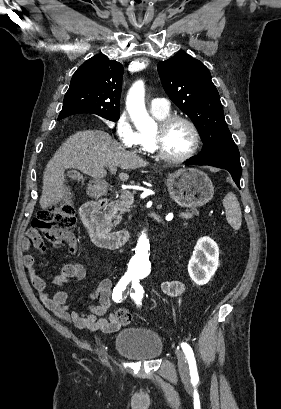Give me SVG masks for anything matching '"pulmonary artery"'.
<instances>
[{
    "instance_id": "obj_1",
    "label": "pulmonary artery",
    "mask_w": 281,
    "mask_h": 409,
    "mask_svg": "<svg viewBox=\"0 0 281 409\" xmlns=\"http://www.w3.org/2000/svg\"><path fill=\"white\" fill-rule=\"evenodd\" d=\"M169 99L167 97H156L154 102L151 103V110L161 113H167Z\"/></svg>"
}]
</instances>
